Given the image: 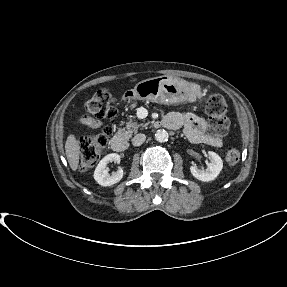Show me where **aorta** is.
I'll list each match as a JSON object with an SVG mask.
<instances>
[{
    "label": "aorta",
    "instance_id": "1",
    "mask_svg": "<svg viewBox=\"0 0 287 287\" xmlns=\"http://www.w3.org/2000/svg\"><path fill=\"white\" fill-rule=\"evenodd\" d=\"M168 138H169V134L164 129L157 130L155 133V139L160 143L168 141Z\"/></svg>",
    "mask_w": 287,
    "mask_h": 287
}]
</instances>
